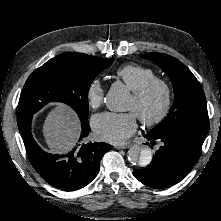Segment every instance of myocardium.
Masks as SVG:
<instances>
[{
    "label": "myocardium",
    "instance_id": "1",
    "mask_svg": "<svg viewBox=\"0 0 221 221\" xmlns=\"http://www.w3.org/2000/svg\"><path fill=\"white\" fill-rule=\"evenodd\" d=\"M156 89L160 90L162 93V105L160 110L153 117L147 118L138 116L142 124L146 126L157 125L168 116L172 106L171 87L165 80L155 77L132 92V96L137 102H143Z\"/></svg>",
    "mask_w": 221,
    "mask_h": 221
}]
</instances>
